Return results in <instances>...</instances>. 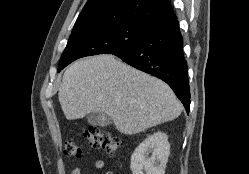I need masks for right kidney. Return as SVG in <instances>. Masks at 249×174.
Masks as SVG:
<instances>
[{"label": "right kidney", "instance_id": "ca27d5eb", "mask_svg": "<svg viewBox=\"0 0 249 174\" xmlns=\"http://www.w3.org/2000/svg\"><path fill=\"white\" fill-rule=\"evenodd\" d=\"M150 151L152 156L146 158V153ZM169 154L170 144L165 133L157 132L148 136L132 154V174H165Z\"/></svg>", "mask_w": 249, "mask_h": 174}]
</instances>
